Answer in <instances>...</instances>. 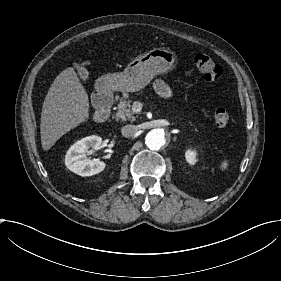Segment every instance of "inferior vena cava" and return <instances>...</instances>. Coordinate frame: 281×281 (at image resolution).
Returning a JSON list of instances; mask_svg holds the SVG:
<instances>
[{
  "label": "inferior vena cava",
  "mask_w": 281,
  "mask_h": 281,
  "mask_svg": "<svg viewBox=\"0 0 281 281\" xmlns=\"http://www.w3.org/2000/svg\"><path fill=\"white\" fill-rule=\"evenodd\" d=\"M138 131V127L135 125H126L122 128V134L124 137H132Z\"/></svg>",
  "instance_id": "obj_1"
}]
</instances>
